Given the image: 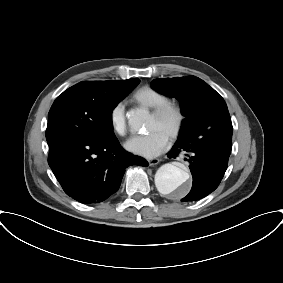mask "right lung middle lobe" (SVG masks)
I'll list each match as a JSON object with an SVG mask.
<instances>
[{
	"label": "right lung middle lobe",
	"mask_w": 283,
	"mask_h": 283,
	"mask_svg": "<svg viewBox=\"0 0 283 283\" xmlns=\"http://www.w3.org/2000/svg\"><path fill=\"white\" fill-rule=\"evenodd\" d=\"M139 79L112 87L80 82L54 101L48 117V145L73 138L101 140L115 135L112 111L138 84Z\"/></svg>",
	"instance_id": "obj_1"
}]
</instances>
